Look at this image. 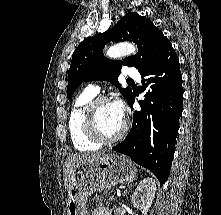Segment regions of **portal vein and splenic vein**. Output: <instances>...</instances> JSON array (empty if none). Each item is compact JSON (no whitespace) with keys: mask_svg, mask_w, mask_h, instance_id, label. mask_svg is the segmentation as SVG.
Returning a JSON list of instances; mask_svg holds the SVG:
<instances>
[{"mask_svg":"<svg viewBox=\"0 0 221 215\" xmlns=\"http://www.w3.org/2000/svg\"><path fill=\"white\" fill-rule=\"evenodd\" d=\"M111 200H115V197H111Z\"/></svg>","mask_w":221,"mask_h":215,"instance_id":"portal-vein-and-splenic-vein-1","label":"portal vein and splenic vein"}]
</instances>
